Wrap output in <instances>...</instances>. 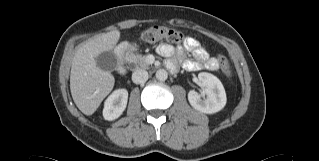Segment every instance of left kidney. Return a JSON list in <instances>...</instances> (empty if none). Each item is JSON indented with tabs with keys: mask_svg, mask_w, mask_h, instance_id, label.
Listing matches in <instances>:
<instances>
[{
	"mask_svg": "<svg viewBox=\"0 0 319 161\" xmlns=\"http://www.w3.org/2000/svg\"><path fill=\"white\" fill-rule=\"evenodd\" d=\"M198 80L203 89V95L191 90L188 93L190 105L197 111L213 114L222 110L226 105V93L221 81L213 74L201 72Z\"/></svg>",
	"mask_w": 319,
	"mask_h": 161,
	"instance_id": "5707ae66",
	"label": "left kidney"
}]
</instances>
